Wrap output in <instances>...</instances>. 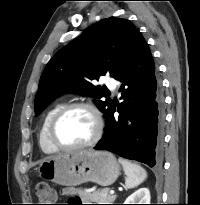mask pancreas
Masks as SVG:
<instances>
[{
    "mask_svg": "<svg viewBox=\"0 0 200 205\" xmlns=\"http://www.w3.org/2000/svg\"><path fill=\"white\" fill-rule=\"evenodd\" d=\"M85 200L96 202L97 204H111L115 201L116 195L110 194L109 188L98 189L92 193H80Z\"/></svg>",
    "mask_w": 200,
    "mask_h": 205,
    "instance_id": "cf45deb5",
    "label": "pancreas"
}]
</instances>
